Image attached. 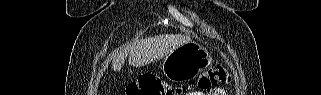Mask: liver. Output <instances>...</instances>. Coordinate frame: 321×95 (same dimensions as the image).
<instances>
[{
  "label": "liver",
  "mask_w": 321,
  "mask_h": 95,
  "mask_svg": "<svg viewBox=\"0 0 321 95\" xmlns=\"http://www.w3.org/2000/svg\"><path fill=\"white\" fill-rule=\"evenodd\" d=\"M191 42L190 37L182 34H165L142 39L117 51L112 61V69L120 71L129 56L131 66H144L164 56H167L176 48Z\"/></svg>",
  "instance_id": "liver-1"
}]
</instances>
